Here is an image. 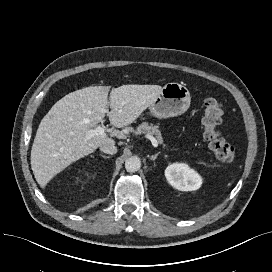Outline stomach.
<instances>
[{
    "mask_svg": "<svg viewBox=\"0 0 272 272\" xmlns=\"http://www.w3.org/2000/svg\"><path fill=\"white\" fill-rule=\"evenodd\" d=\"M190 92L180 83H167L154 102L149 106L150 113L157 118H169L181 115L190 106Z\"/></svg>",
    "mask_w": 272,
    "mask_h": 272,
    "instance_id": "0dacf381",
    "label": "stomach"
}]
</instances>
